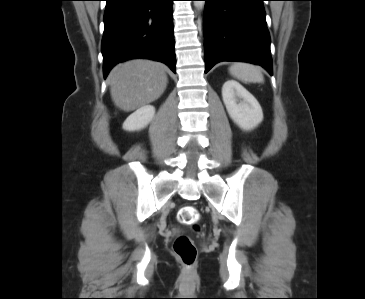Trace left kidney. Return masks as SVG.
<instances>
[{
  "label": "left kidney",
  "instance_id": "1",
  "mask_svg": "<svg viewBox=\"0 0 365 299\" xmlns=\"http://www.w3.org/2000/svg\"><path fill=\"white\" fill-rule=\"evenodd\" d=\"M222 98L228 114L242 129H254L263 120V112L255 97L238 82L229 80L222 87Z\"/></svg>",
  "mask_w": 365,
  "mask_h": 299
}]
</instances>
